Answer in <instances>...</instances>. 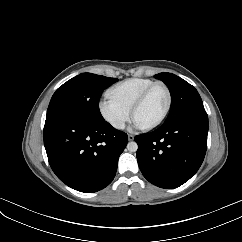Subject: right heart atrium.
Segmentation results:
<instances>
[{"mask_svg": "<svg viewBox=\"0 0 242 242\" xmlns=\"http://www.w3.org/2000/svg\"><path fill=\"white\" fill-rule=\"evenodd\" d=\"M99 110L102 117L117 130L123 129L130 119V111L109 97H104L99 102Z\"/></svg>", "mask_w": 242, "mask_h": 242, "instance_id": "1", "label": "right heart atrium"}]
</instances>
